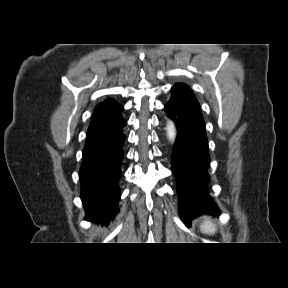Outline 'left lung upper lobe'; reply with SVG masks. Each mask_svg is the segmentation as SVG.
Here are the masks:
<instances>
[{
	"label": "left lung upper lobe",
	"mask_w": 288,
	"mask_h": 288,
	"mask_svg": "<svg viewBox=\"0 0 288 288\" xmlns=\"http://www.w3.org/2000/svg\"><path fill=\"white\" fill-rule=\"evenodd\" d=\"M189 89L185 84L178 83L172 87L171 90Z\"/></svg>",
	"instance_id": "obj_1"
}]
</instances>
